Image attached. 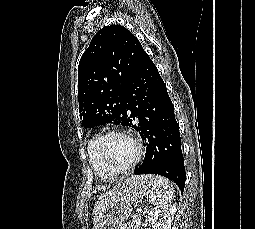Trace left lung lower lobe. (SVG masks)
<instances>
[{
	"instance_id": "0a47b994",
	"label": "left lung lower lobe",
	"mask_w": 255,
	"mask_h": 229,
	"mask_svg": "<svg viewBox=\"0 0 255 229\" xmlns=\"http://www.w3.org/2000/svg\"><path fill=\"white\" fill-rule=\"evenodd\" d=\"M123 97L127 126L138 131L146 144L143 163L136 166L134 173L162 175L183 192L186 172L174 107L157 67L145 51Z\"/></svg>"
}]
</instances>
